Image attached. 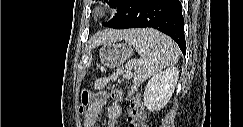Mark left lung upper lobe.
<instances>
[{
  "label": "left lung upper lobe",
  "instance_id": "left-lung-upper-lobe-1",
  "mask_svg": "<svg viewBox=\"0 0 243 127\" xmlns=\"http://www.w3.org/2000/svg\"><path fill=\"white\" fill-rule=\"evenodd\" d=\"M107 0H105L106 2ZM125 0H110L111 7H120ZM106 24V23H105Z\"/></svg>",
  "mask_w": 243,
  "mask_h": 127
}]
</instances>
